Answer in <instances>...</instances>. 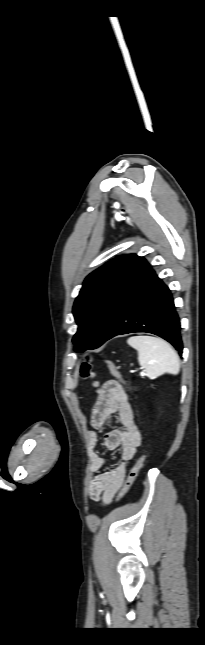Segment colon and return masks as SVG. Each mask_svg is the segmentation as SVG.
<instances>
[{
  "label": "colon",
  "mask_w": 205,
  "mask_h": 645,
  "mask_svg": "<svg viewBox=\"0 0 205 645\" xmlns=\"http://www.w3.org/2000/svg\"><path fill=\"white\" fill-rule=\"evenodd\" d=\"M105 363L106 367L109 369L111 374L116 377L115 380H111L108 382V386L110 389L117 390V389H122L123 386L126 385L124 382L118 368L115 366L113 362L110 360H103ZM80 376L81 378L88 380L91 382L92 386L94 388H98V381L95 379V374L92 370V364H91V358L87 357L81 364L80 366ZM130 390H132L131 387H129ZM145 462V455H141L139 459L136 461L132 469L130 470L128 477L121 488L120 492L117 495L116 501L119 502L130 490L131 486L133 485L139 471L142 469L144 466Z\"/></svg>",
  "instance_id": "5ec220e1"
}]
</instances>
